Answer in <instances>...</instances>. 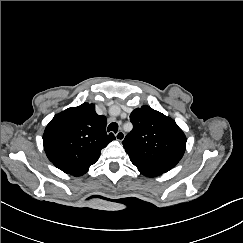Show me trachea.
<instances>
[{
	"label": "trachea",
	"instance_id": "1",
	"mask_svg": "<svg viewBox=\"0 0 243 243\" xmlns=\"http://www.w3.org/2000/svg\"><path fill=\"white\" fill-rule=\"evenodd\" d=\"M107 130H108V132L109 131H113V132H117V130H118V124L117 123H115V122H113V123H111V124H109V126H108V128H107Z\"/></svg>",
	"mask_w": 243,
	"mask_h": 243
}]
</instances>
